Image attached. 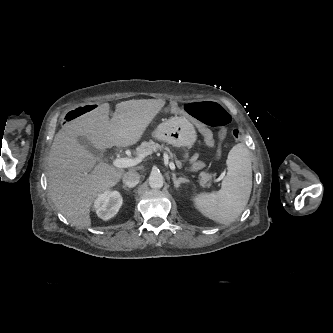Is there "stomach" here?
Instances as JSON below:
<instances>
[{
  "mask_svg": "<svg viewBox=\"0 0 333 333\" xmlns=\"http://www.w3.org/2000/svg\"><path fill=\"white\" fill-rule=\"evenodd\" d=\"M154 137L177 147L192 148L197 140L194 126L182 117H172L158 125Z\"/></svg>",
  "mask_w": 333,
  "mask_h": 333,
  "instance_id": "1",
  "label": "stomach"
}]
</instances>
